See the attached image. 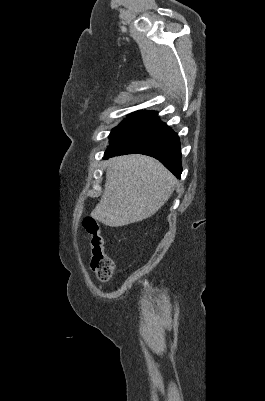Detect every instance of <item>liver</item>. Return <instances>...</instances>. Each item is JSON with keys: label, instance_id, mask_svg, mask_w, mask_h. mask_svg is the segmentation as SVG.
Masks as SVG:
<instances>
[{"label": "liver", "instance_id": "6515ba94", "mask_svg": "<svg viewBox=\"0 0 265 401\" xmlns=\"http://www.w3.org/2000/svg\"><path fill=\"white\" fill-rule=\"evenodd\" d=\"M107 162L105 188L91 217L108 227L149 219L175 188V176L152 156L124 154Z\"/></svg>", "mask_w": 265, "mask_h": 401}]
</instances>
